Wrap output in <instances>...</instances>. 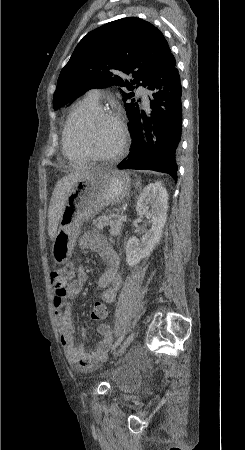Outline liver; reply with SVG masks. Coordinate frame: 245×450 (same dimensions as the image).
<instances>
[{"label": "liver", "mask_w": 245, "mask_h": 450, "mask_svg": "<svg viewBox=\"0 0 245 450\" xmlns=\"http://www.w3.org/2000/svg\"><path fill=\"white\" fill-rule=\"evenodd\" d=\"M95 169H82L71 172L56 183L48 209V234L55 238L57 227L73 185L80 179L91 175Z\"/></svg>", "instance_id": "1"}]
</instances>
